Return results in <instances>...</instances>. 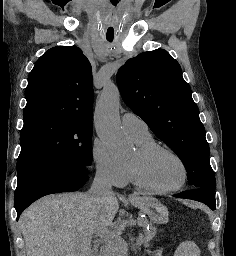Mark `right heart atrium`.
<instances>
[{"instance_id": "d8ad5b80", "label": "right heart atrium", "mask_w": 236, "mask_h": 256, "mask_svg": "<svg viewBox=\"0 0 236 256\" xmlns=\"http://www.w3.org/2000/svg\"><path fill=\"white\" fill-rule=\"evenodd\" d=\"M91 160L96 175L101 180L117 188H123L129 182L128 164L114 160L99 139H95L93 142Z\"/></svg>"}]
</instances>
